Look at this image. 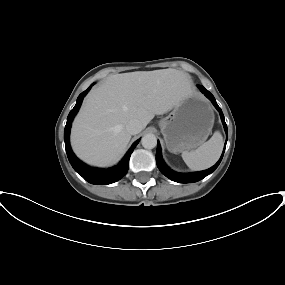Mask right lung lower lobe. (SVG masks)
Wrapping results in <instances>:
<instances>
[{
    "mask_svg": "<svg viewBox=\"0 0 285 285\" xmlns=\"http://www.w3.org/2000/svg\"><path fill=\"white\" fill-rule=\"evenodd\" d=\"M91 86L78 96L76 105L70 111L67 117V123H66L65 130H64L65 149H66V153H67L70 164L75 169V171L78 174H80L87 182L91 184L106 185V184L114 183L126 175L128 168H129V159H130L131 153L133 152L134 148L139 143V140H137L132 145V147L129 149V151L124 156L122 161L117 166L110 168V169L91 168L87 166L86 164H84L83 162H81L74 155L73 151L71 150L70 143H69L70 127H71V123H72L74 116L76 115V113L78 112L81 106L84 96L88 93Z\"/></svg>",
    "mask_w": 285,
    "mask_h": 285,
    "instance_id": "98d812e1",
    "label": "right lung lower lobe"
}]
</instances>
